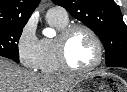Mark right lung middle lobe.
<instances>
[{
  "mask_svg": "<svg viewBox=\"0 0 127 92\" xmlns=\"http://www.w3.org/2000/svg\"><path fill=\"white\" fill-rule=\"evenodd\" d=\"M24 26L0 27V56L18 59V41Z\"/></svg>",
  "mask_w": 127,
  "mask_h": 92,
  "instance_id": "1",
  "label": "right lung middle lobe"
}]
</instances>
